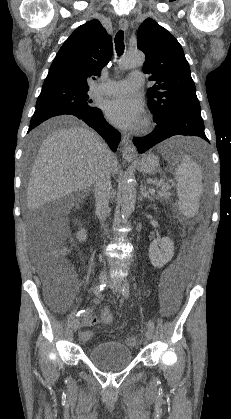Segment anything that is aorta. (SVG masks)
Listing matches in <instances>:
<instances>
[{
    "label": "aorta",
    "instance_id": "1",
    "mask_svg": "<svg viewBox=\"0 0 231 419\" xmlns=\"http://www.w3.org/2000/svg\"><path fill=\"white\" fill-rule=\"evenodd\" d=\"M145 55L141 51H134L127 53L119 62V68L127 70L134 67H139L144 64ZM136 202V189L133 182H129L124 189L121 199V214L122 217H128L132 213Z\"/></svg>",
    "mask_w": 231,
    "mask_h": 419
}]
</instances>
